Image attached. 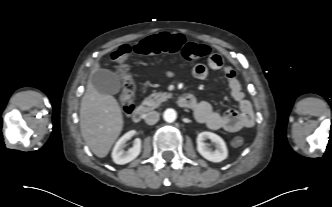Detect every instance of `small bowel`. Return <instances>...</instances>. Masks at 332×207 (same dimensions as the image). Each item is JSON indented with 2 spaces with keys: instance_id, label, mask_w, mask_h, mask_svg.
<instances>
[{
  "instance_id": "c3829d8e",
  "label": "small bowel",
  "mask_w": 332,
  "mask_h": 207,
  "mask_svg": "<svg viewBox=\"0 0 332 207\" xmlns=\"http://www.w3.org/2000/svg\"><path fill=\"white\" fill-rule=\"evenodd\" d=\"M213 56L209 57L207 64H196L193 67V75L195 78L203 80L208 76L210 69L221 70L228 83L231 96L238 103L239 110L220 113L213 110L208 102L196 101L191 108L194 111L196 120L212 130L236 132L242 128L251 127L255 121L254 112L251 103L246 99L242 91L235 69L225 65L219 55H215L217 58Z\"/></svg>"
}]
</instances>
